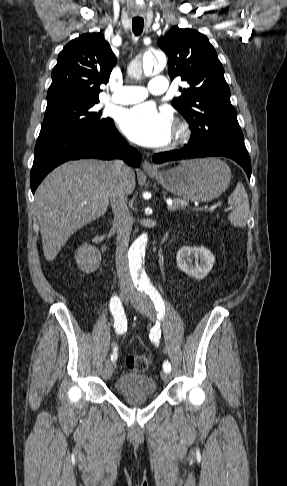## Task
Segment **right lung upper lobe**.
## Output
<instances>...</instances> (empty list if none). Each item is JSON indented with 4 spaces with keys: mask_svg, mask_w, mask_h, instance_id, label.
<instances>
[{
    "mask_svg": "<svg viewBox=\"0 0 287 486\" xmlns=\"http://www.w3.org/2000/svg\"><path fill=\"white\" fill-rule=\"evenodd\" d=\"M116 57L102 33H88L70 41L60 52L52 71L47 107L98 99L101 83H107Z\"/></svg>",
    "mask_w": 287,
    "mask_h": 486,
    "instance_id": "cb5924a9",
    "label": "right lung upper lobe"
}]
</instances>
